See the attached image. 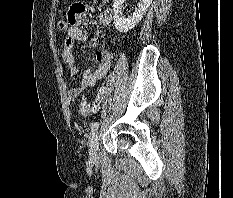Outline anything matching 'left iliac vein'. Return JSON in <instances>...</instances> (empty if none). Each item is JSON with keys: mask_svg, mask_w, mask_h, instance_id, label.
I'll return each mask as SVG.
<instances>
[{"mask_svg": "<svg viewBox=\"0 0 233 198\" xmlns=\"http://www.w3.org/2000/svg\"><path fill=\"white\" fill-rule=\"evenodd\" d=\"M90 158L94 162L100 158L98 132H94L90 139Z\"/></svg>", "mask_w": 233, "mask_h": 198, "instance_id": "4c4485c4", "label": "left iliac vein"}]
</instances>
